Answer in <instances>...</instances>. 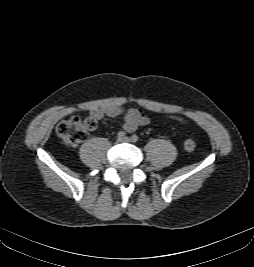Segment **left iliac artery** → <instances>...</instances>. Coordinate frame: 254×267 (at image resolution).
I'll use <instances>...</instances> for the list:
<instances>
[{
    "instance_id": "left-iliac-artery-1",
    "label": "left iliac artery",
    "mask_w": 254,
    "mask_h": 267,
    "mask_svg": "<svg viewBox=\"0 0 254 267\" xmlns=\"http://www.w3.org/2000/svg\"><path fill=\"white\" fill-rule=\"evenodd\" d=\"M138 136L137 135H132L131 136V140H132V142H137L138 141Z\"/></svg>"
}]
</instances>
